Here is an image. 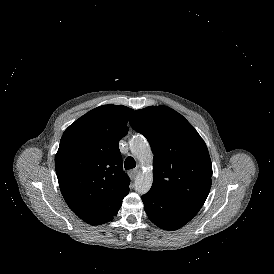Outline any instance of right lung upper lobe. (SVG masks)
I'll return each instance as SVG.
<instances>
[{
	"label": "right lung upper lobe",
	"mask_w": 274,
	"mask_h": 274,
	"mask_svg": "<svg viewBox=\"0 0 274 274\" xmlns=\"http://www.w3.org/2000/svg\"><path fill=\"white\" fill-rule=\"evenodd\" d=\"M133 109L97 107L70 125L60 141L55 169L62 195L82 220L99 225L113 219L129 193L119 140L128 133Z\"/></svg>",
	"instance_id": "obj_1"
}]
</instances>
